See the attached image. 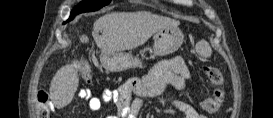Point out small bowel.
<instances>
[{
	"label": "small bowel",
	"instance_id": "c3829d8e",
	"mask_svg": "<svg viewBox=\"0 0 273 118\" xmlns=\"http://www.w3.org/2000/svg\"><path fill=\"white\" fill-rule=\"evenodd\" d=\"M190 71L181 57L159 61L142 79L129 80L119 90H104L99 96L87 89L80 90V96L88 102L89 108L98 112L104 104L113 103L116 109L115 118H137L142 107L150 101H160L170 108L182 112L185 118H203L199 105L174 99H164L162 94L167 85L173 84L180 91L187 90ZM132 93L137 98L130 104Z\"/></svg>",
	"mask_w": 273,
	"mask_h": 118
}]
</instances>
